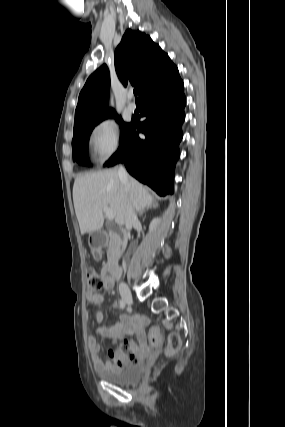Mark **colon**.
I'll use <instances>...</instances> for the list:
<instances>
[{"label":"colon","mask_w":285,"mask_h":427,"mask_svg":"<svg viewBox=\"0 0 285 427\" xmlns=\"http://www.w3.org/2000/svg\"><path fill=\"white\" fill-rule=\"evenodd\" d=\"M100 245V241H96ZM86 285L91 291H98L103 288V281L95 269L88 267L86 270ZM160 344V329L156 326L151 327L148 335V345L150 348H156ZM180 347V338L178 334L172 333L168 337V351L174 352ZM121 353L125 360L134 361L140 351L139 348L131 341H126L123 344Z\"/></svg>","instance_id":"5ec220e1"}]
</instances>
